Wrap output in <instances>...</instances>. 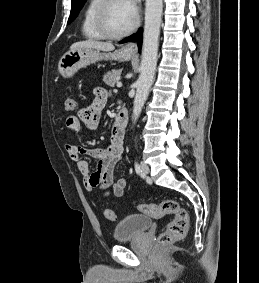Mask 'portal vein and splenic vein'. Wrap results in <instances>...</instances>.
<instances>
[{"label": "portal vein and splenic vein", "instance_id": "1", "mask_svg": "<svg viewBox=\"0 0 259 283\" xmlns=\"http://www.w3.org/2000/svg\"><path fill=\"white\" fill-rule=\"evenodd\" d=\"M117 87H122V83L121 82H117Z\"/></svg>", "mask_w": 259, "mask_h": 283}]
</instances>
